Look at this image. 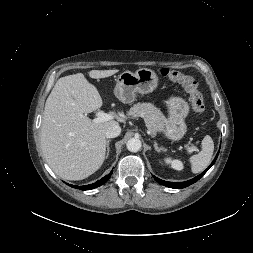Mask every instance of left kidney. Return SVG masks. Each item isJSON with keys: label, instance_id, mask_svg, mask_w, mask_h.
I'll return each mask as SVG.
<instances>
[{"label": "left kidney", "instance_id": "obj_1", "mask_svg": "<svg viewBox=\"0 0 253 253\" xmlns=\"http://www.w3.org/2000/svg\"><path fill=\"white\" fill-rule=\"evenodd\" d=\"M166 164H170L171 167L175 170H182L183 169V164L179 160H172L171 158H165L164 159Z\"/></svg>", "mask_w": 253, "mask_h": 253}]
</instances>
